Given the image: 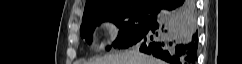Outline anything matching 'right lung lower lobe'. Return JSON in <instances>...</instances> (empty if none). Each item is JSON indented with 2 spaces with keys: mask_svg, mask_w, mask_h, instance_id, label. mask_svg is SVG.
Returning <instances> with one entry per match:
<instances>
[{
  "mask_svg": "<svg viewBox=\"0 0 242 64\" xmlns=\"http://www.w3.org/2000/svg\"><path fill=\"white\" fill-rule=\"evenodd\" d=\"M130 46L169 64H195L198 36L194 0H161L156 21Z\"/></svg>",
  "mask_w": 242,
  "mask_h": 64,
  "instance_id": "obj_1",
  "label": "right lung lower lobe"
}]
</instances>
